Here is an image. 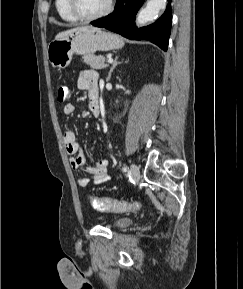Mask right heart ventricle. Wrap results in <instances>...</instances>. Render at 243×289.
Instances as JSON below:
<instances>
[{"label":"right heart ventricle","instance_id":"right-heart-ventricle-1","mask_svg":"<svg viewBox=\"0 0 243 289\" xmlns=\"http://www.w3.org/2000/svg\"><path fill=\"white\" fill-rule=\"evenodd\" d=\"M55 7L62 20L71 23L78 21V19H76L69 10L68 0H56Z\"/></svg>","mask_w":243,"mask_h":289}]
</instances>
